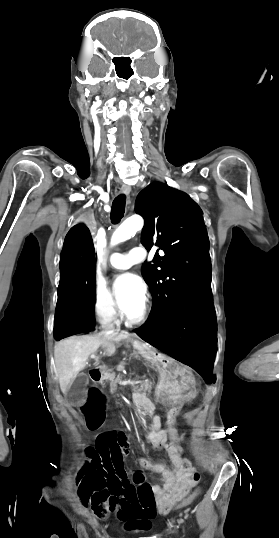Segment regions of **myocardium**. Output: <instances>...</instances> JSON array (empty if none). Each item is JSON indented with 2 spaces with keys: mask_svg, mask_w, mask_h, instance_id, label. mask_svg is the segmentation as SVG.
<instances>
[{
  "mask_svg": "<svg viewBox=\"0 0 279 538\" xmlns=\"http://www.w3.org/2000/svg\"><path fill=\"white\" fill-rule=\"evenodd\" d=\"M87 216H88V214H87ZM144 227H145L144 224L139 226V225L134 223L133 226H132L131 233L129 235H135L137 233L142 232L144 230ZM149 310H150V305H149L148 300L146 299L143 302L141 311L137 315L128 316L123 312L122 318L129 325H132V326L141 325V324L146 322V320H147V318L149 316Z\"/></svg>",
  "mask_w": 279,
  "mask_h": 538,
  "instance_id": "myocardium-1",
  "label": "myocardium"
}]
</instances>
